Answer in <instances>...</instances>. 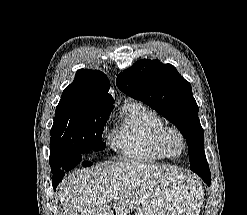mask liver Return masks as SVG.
Masks as SVG:
<instances>
[{
    "mask_svg": "<svg viewBox=\"0 0 247 215\" xmlns=\"http://www.w3.org/2000/svg\"><path fill=\"white\" fill-rule=\"evenodd\" d=\"M181 175L178 168L160 164H104L70 174L58 186V197L65 215H129L167 179Z\"/></svg>",
    "mask_w": 247,
    "mask_h": 215,
    "instance_id": "1",
    "label": "liver"
}]
</instances>
